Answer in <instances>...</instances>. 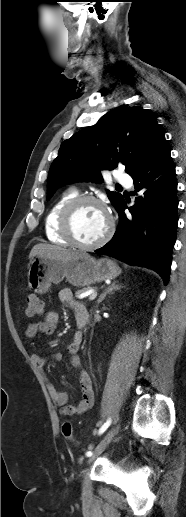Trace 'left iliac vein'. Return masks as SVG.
Masks as SVG:
<instances>
[{
  "mask_svg": "<svg viewBox=\"0 0 186 517\" xmlns=\"http://www.w3.org/2000/svg\"><path fill=\"white\" fill-rule=\"evenodd\" d=\"M119 432V425L113 426L108 433L105 435V437L102 439V441L98 444L96 447L95 453L89 457L88 462H92L96 456L100 455L108 446V444L112 441V439L115 437V435Z\"/></svg>",
  "mask_w": 186,
  "mask_h": 517,
  "instance_id": "4c4485c4",
  "label": "left iliac vein"
}]
</instances>
